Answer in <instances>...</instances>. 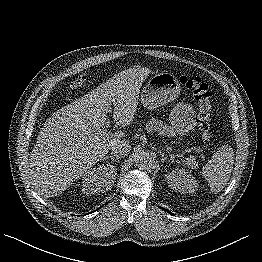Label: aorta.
<instances>
[{
    "label": "aorta",
    "mask_w": 262,
    "mask_h": 262,
    "mask_svg": "<svg viewBox=\"0 0 262 262\" xmlns=\"http://www.w3.org/2000/svg\"><path fill=\"white\" fill-rule=\"evenodd\" d=\"M137 163L140 168H148L150 167V158L145 153H139L137 155Z\"/></svg>",
    "instance_id": "aorta-1"
}]
</instances>
